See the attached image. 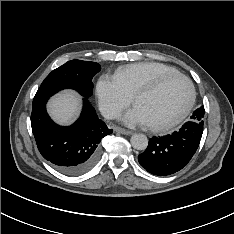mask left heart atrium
Here are the masks:
<instances>
[{"mask_svg": "<svg viewBox=\"0 0 234 234\" xmlns=\"http://www.w3.org/2000/svg\"><path fill=\"white\" fill-rule=\"evenodd\" d=\"M123 121L129 125H148V121L139 107L135 106L124 116Z\"/></svg>", "mask_w": 234, "mask_h": 234, "instance_id": "left-heart-atrium-1", "label": "left heart atrium"}]
</instances>
